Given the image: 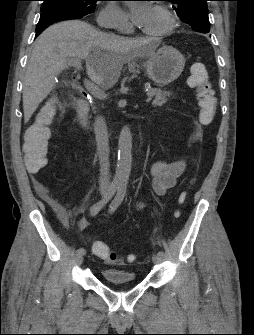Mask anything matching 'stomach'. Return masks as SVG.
Returning <instances> with one entry per match:
<instances>
[{
    "label": "stomach",
    "instance_id": "1",
    "mask_svg": "<svg viewBox=\"0 0 254 335\" xmlns=\"http://www.w3.org/2000/svg\"><path fill=\"white\" fill-rule=\"evenodd\" d=\"M185 57L172 46L153 51L145 62L148 77L159 87L175 81L185 67Z\"/></svg>",
    "mask_w": 254,
    "mask_h": 335
}]
</instances>
